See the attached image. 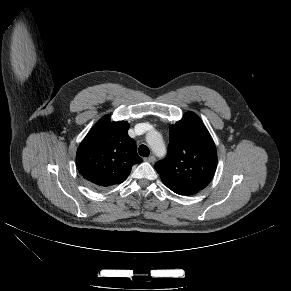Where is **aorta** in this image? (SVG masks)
<instances>
[{
  "label": "aorta",
  "mask_w": 291,
  "mask_h": 291,
  "mask_svg": "<svg viewBox=\"0 0 291 291\" xmlns=\"http://www.w3.org/2000/svg\"><path fill=\"white\" fill-rule=\"evenodd\" d=\"M146 141L157 156L163 155L165 153V145L159 132H149L146 135Z\"/></svg>",
  "instance_id": "762f6f07"
}]
</instances>
